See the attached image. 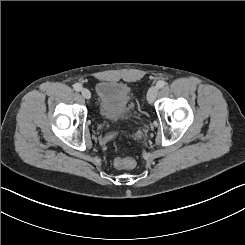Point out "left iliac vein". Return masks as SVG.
I'll return each instance as SVG.
<instances>
[{"mask_svg": "<svg viewBox=\"0 0 245 245\" xmlns=\"http://www.w3.org/2000/svg\"><path fill=\"white\" fill-rule=\"evenodd\" d=\"M158 94V88L153 86L150 88L149 93H148V102L151 104L154 102Z\"/></svg>", "mask_w": 245, "mask_h": 245, "instance_id": "4c4485c4", "label": "left iliac vein"}]
</instances>
